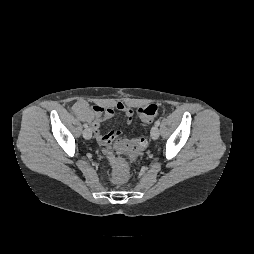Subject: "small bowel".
<instances>
[{
    "instance_id": "c3829d8e",
    "label": "small bowel",
    "mask_w": 254,
    "mask_h": 254,
    "mask_svg": "<svg viewBox=\"0 0 254 254\" xmlns=\"http://www.w3.org/2000/svg\"><path fill=\"white\" fill-rule=\"evenodd\" d=\"M115 109L125 115L127 125L132 123L133 110L131 108L119 102L116 104ZM73 110L82 120L87 121L91 125L97 140L101 144L110 146L121 135L120 131L101 132V124L113 117L114 108L89 105L86 101L79 100L74 104Z\"/></svg>"
}]
</instances>
